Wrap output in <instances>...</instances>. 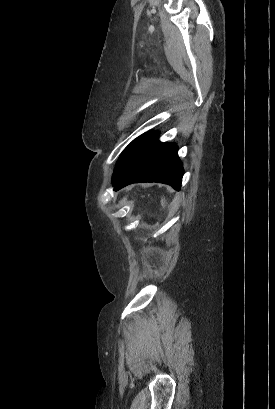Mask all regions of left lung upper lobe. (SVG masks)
Wrapping results in <instances>:
<instances>
[{"label": "left lung upper lobe", "mask_w": 275, "mask_h": 409, "mask_svg": "<svg viewBox=\"0 0 275 409\" xmlns=\"http://www.w3.org/2000/svg\"><path fill=\"white\" fill-rule=\"evenodd\" d=\"M143 135L137 137L136 139H134L122 152V154L120 155L114 173H113V182L114 180L119 176V174L122 172L125 162L127 160V157L129 155L130 150L132 149V147L135 145V143L142 137Z\"/></svg>", "instance_id": "5c2ea615"}]
</instances>
